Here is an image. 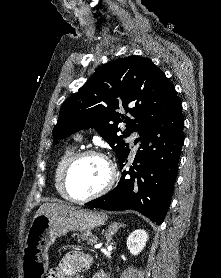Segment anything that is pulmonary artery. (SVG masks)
Here are the masks:
<instances>
[{
	"label": "pulmonary artery",
	"instance_id": "obj_1",
	"mask_svg": "<svg viewBox=\"0 0 221 278\" xmlns=\"http://www.w3.org/2000/svg\"><path fill=\"white\" fill-rule=\"evenodd\" d=\"M135 139H138V136L134 135V136L131 138L132 141H134ZM139 143H140V141L138 140V141L136 142V144H135V149L138 148Z\"/></svg>",
	"mask_w": 221,
	"mask_h": 278
}]
</instances>
